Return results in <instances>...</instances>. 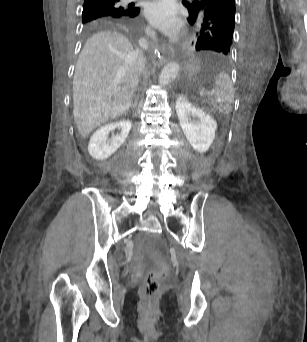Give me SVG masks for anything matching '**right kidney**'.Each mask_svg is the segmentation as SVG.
Segmentation results:
<instances>
[{
  "instance_id": "ca27d5eb",
  "label": "right kidney",
  "mask_w": 307,
  "mask_h": 342,
  "mask_svg": "<svg viewBox=\"0 0 307 342\" xmlns=\"http://www.w3.org/2000/svg\"><path fill=\"white\" fill-rule=\"evenodd\" d=\"M121 128L120 134L113 136L112 140H108V136L112 130ZM132 122L130 120H120V122H113V124H106L101 126L99 130L94 132L88 144V152L95 160H107L112 156L122 144H124L130 130Z\"/></svg>"
}]
</instances>
